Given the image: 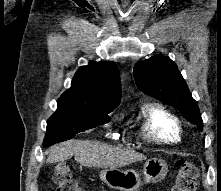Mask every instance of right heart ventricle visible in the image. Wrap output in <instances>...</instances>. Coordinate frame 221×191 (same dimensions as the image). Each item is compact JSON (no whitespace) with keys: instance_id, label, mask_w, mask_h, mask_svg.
<instances>
[{"instance_id":"1","label":"right heart ventricle","mask_w":221,"mask_h":191,"mask_svg":"<svg viewBox=\"0 0 221 191\" xmlns=\"http://www.w3.org/2000/svg\"><path fill=\"white\" fill-rule=\"evenodd\" d=\"M140 130L144 138L158 144H177L183 140L180 118L166 106L146 103L139 112Z\"/></svg>"}]
</instances>
